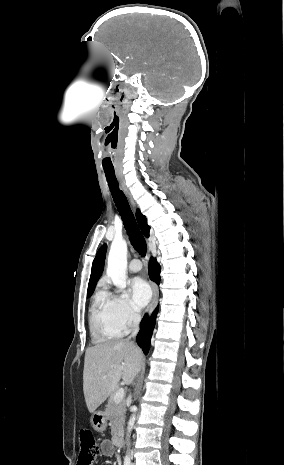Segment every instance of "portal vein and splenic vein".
I'll use <instances>...</instances> for the list:
<instances>
[{
  "label": "portal vein and splenic vein",
  "mask_w": 284,
  "mask_h": 465,
  "mask_svg": "<svg viewBox=\"0 0 284 465\" xmlns=\"http://www.w3.org/2000/svg\"><path fill=\"white\" fill-rule=\"evenodd\" d=\"M124 389H119V391H117V393H115V397H114V401L116 403V405H119V403H122L123 399H124Z\"/></svg>",
  "instance_id": "18ae733b"
}]
</instances>
